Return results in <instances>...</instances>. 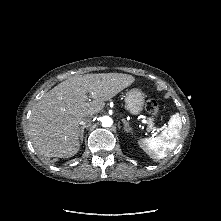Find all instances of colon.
<instances>
[{"instance_id": "1", "label": "colon", "mask_w": 221, "mask_h": 221, "mask_svg": "<svg viewBox=\"0 0 221 221\" xmlns=\"http://www.w3.org/2000/svg\"><path fill=\"white\" fill-rule=\"evenodd\" d=\"M145 107H146L147 112H149L151 115L153 116L158 115L159 107L155 100L153 99L147 100Z\"/></svg>"}]
</instances>
